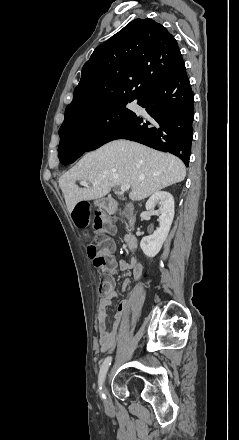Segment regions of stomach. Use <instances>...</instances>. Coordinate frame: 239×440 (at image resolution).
<instances>
[{"mask_svg":"<svg viewBox=\"0 0 239 440\" xmlns=\"http://www.w3.org/2000/svg\"><path fill=\"white\" fill-rule=\"evenodd\" d=\"M95 206H100L99 204V200H96V202H94Z\"/></svg>","mask_w":239,"mask_h":440,"instance_id":"obj_1","label":"stomach"}]
</instances>
